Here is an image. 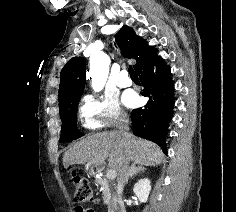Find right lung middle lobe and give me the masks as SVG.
I'll return each mask as SVG.
<instances>
[{
    "label": "right lung middle lobe",
    "mask_w": 236,
    "mask_h": 212,
    "mask_svg": "<svg viewBox=\"0 0 236 212\" xmlns=\"http://www.w3.org/2000/svg\"><path fill=\"white\" fill-rule=\"evenodd\" d=\"M80 97L70 101V103L60 110V116L62 120V131L60 136V142H68L71 140L78 139L83 136L77 129V107Z\"/></svg>",
    "instance_id": "1"
}]
</instances>
